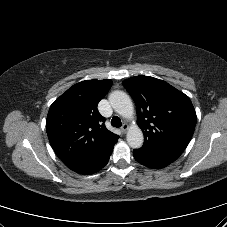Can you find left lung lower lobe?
I'll list each match as a JSON object with an SVG mask.
<instances>
[{"instance_id":"left-lung-lower-lobe-1","label":"left lung lower lobe","mask_w":227,"mask_h":227,"mask_svg":"<svg viewBox=\"0 0 227 227\" xmlns=\"http://www.w3.org/2000/svg\"><path fill=\"white\" fill-rule=\"evenodd\" d=\"M134 158L142 165L160 169L174 162L180 155L161 148L134 149Z\"/></svg>"}]
</instances>
